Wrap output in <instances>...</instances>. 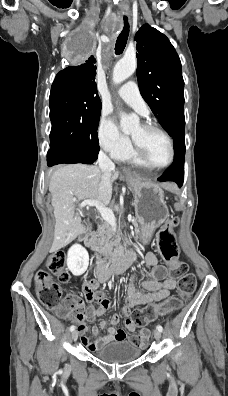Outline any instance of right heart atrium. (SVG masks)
<instances>
[{
    "label": "right heart atrium",
    "instance_id": "obj_1",
    "mask_svg": "<svg viewBox=\"0 0 228 396\" xmlns=\"http://www.w3.org/2000/svg\"><path fill=\"white\" fill-rule=\"evenodd\" d=\"M97 138L101 148L114 159H122L131 150L129 139L119 133L114 123L104 113L98 123Z\"/></svg>",
    "mask_w": 228,
    "mask_h": 396
}]
</instances>
